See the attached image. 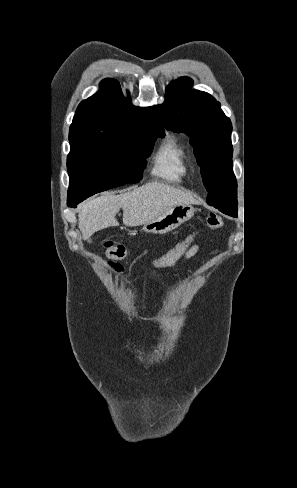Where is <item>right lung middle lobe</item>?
I'll use <instances>...</instances> for the list:
<instances>
[{"label": "right lung middle lobe", "mask_w": 297, "mask_h": 488, "mask_svg": "<svg viewBox=\"0 0 297 488\" xmlns=\"http://www.w3.org/2000/svg\"><path fill=\"white\" fill-rule=\"evenodd\" d=\"M158 137L164 136L152 128H141L127 136L70 144L67 205L75 208L95 193L139 182Z\"/></svg>", "instance_id": "1"}]
</instances>
